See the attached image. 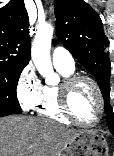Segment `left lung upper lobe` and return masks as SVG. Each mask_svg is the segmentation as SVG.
I'll return each mask as SVG.
<instances>
[{
	"label": "left lung upper lobe",
	"instance_id": "left-lung-upper-lobe-1",
	"mask_svg": "<svg viewBox=\"0 0 114 156\" xmlns=\"http://www.w3.org/2000/svg\"><path fill=\"white\" fill-rule=\"evenodd\" d=\"M57 37L80 63L97 79L104 97L109 129H114L110 105L111 63L104 46L109 43L97 12L83 0H56Z\"/></svg>",
	"mask_w": 114,
	"mask_h": 156
}]
</instances>
